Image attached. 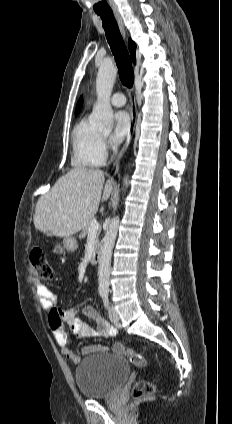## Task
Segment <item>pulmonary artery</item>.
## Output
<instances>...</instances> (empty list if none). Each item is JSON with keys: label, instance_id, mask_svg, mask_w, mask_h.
Here are the masks:
<instances>
[{"label": "pulmonary artery", "instance_id": "pulmonary-artery-1", "mask_svg": "<svg viewBox=\"0 0 232 424\" xmlns=\"http://www.w3.org/2000/svg\"><path fill=\"white\" fill-rule=\"evenodd\" d=\"M110 101H111L112 105H114L116 107H122L126 104V97L123 93H115L111 97Z\"/></svg>", "mask_w": 232, "mask_h": 424}]
</instances>
